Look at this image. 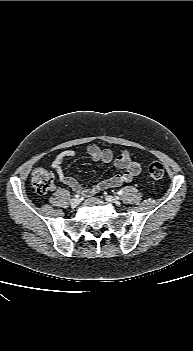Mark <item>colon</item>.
Here are the masks:
<instances>
[{
	"label": "colon",
	"mask_w": 193,
	"mask_h": 351,
	"mask_svg": "<svg viewBox=\"0 0 193 351\" xmlns=\"http://www.w3.org/2000/svg\"><path fill=\"white\" fill-rule=\"evenodd\" d=\"M164 166L160 162H153L148 168L149 177L153 180H160L164 176ZM31 184L39 195L48 193L54 187L53 175L44 168H37L31 175Z\"/></svg>",
	"instance_id": "obj_1"
}]
</instances>
